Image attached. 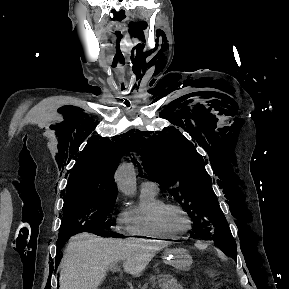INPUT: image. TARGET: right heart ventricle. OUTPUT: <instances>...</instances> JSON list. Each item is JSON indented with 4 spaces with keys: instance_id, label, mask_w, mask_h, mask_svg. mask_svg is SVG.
Wrapping results in <instances>:
<instances>
[{
    "instance_id": "1",
    "label": "right heart ventricle",
    "mask_w": 289,
    "mask_h": 289,
    "mask_svg": "<svg viewBox=\"0 0 289 289\" xmlns=\"http://www.w3.org/2000/svg\"><path fill=\"white\" fill-rule=\"evenodd\" d=\"M163 202L158 191L141 190L139 202L128 206L121 214L122 230L132 236L171 238L154 219L157 208Z\"/></svg>"
}]
</instances>
